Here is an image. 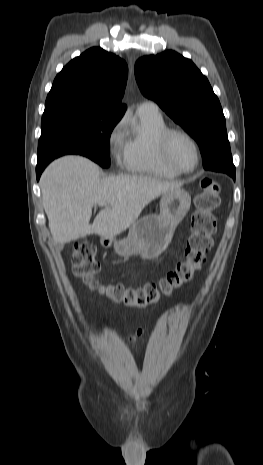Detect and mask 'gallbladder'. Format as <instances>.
Masks as SVG:
<instances>
[{"instance_id": "gallbladder-1", "label": "gallbladder", "mask_w": 263, "mask_h": 465, "mask_svg": "<svg viewBox=\"0 0 263 465\" xmlns=\"http://www.w3.org/2000/svg\"><path fill=\"white\" fill-rule=\"evenodd\" d=\"M56 248H57V249H60V250L63 249V244L58 243V244L56 245Z\"/></svg>"}]
</instances>
